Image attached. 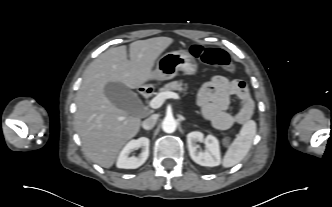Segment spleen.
Listing matches in <instances>:
<instances>
[{"label": "spleen", "mask_w": 332, "mask_h": 207, "mask_svg": "<svg viewBox=\"0 0 332 207\" xmlns=\"http://www.w3.org/2000/svg\"><path fill=\"white\" fill-rule=\"evenodd\" d=\"M255 136L256 123L249 120L243 125L239 134L229 146L223 158V166L227 168L238 164L249 152Z\"/></svg>", "instance_id": "spleen-1"}]
</instances>
